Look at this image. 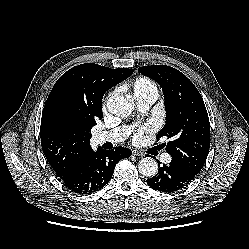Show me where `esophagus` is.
I'll return each mask as SVG.
<instances>
[{"instance_id": "1", "label": "esophagus", "mask_w": 249, "mask_h": 249, "mask_svg": "<svg viewBox=\"0 0 249 249\" xmlns=\"http://www.w3.org/2000/svg\"><path fill=\"white\" fill-rule=\"evenodd\" d=\"M133 155L141 156V157L145 156V155H144V152H142V151H137V150H134V151H133Z\"/></svg>"}]
</instances>
